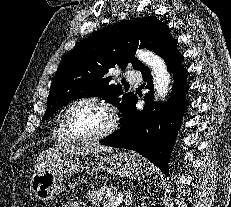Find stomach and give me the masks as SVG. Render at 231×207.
Instances as JSON below:
<instances>
[{
    "mask_svg": "<svg viewBox=\"0 0 231 207\" xmlns=\"http://www.w3.org/2000/svg\"><path fill=\"white\" fill-rule=\"evenodd\" d=\"M107 171L109 174L141 179L151 174L147 162L128 152L109 156L78 155L59 159L51 167L38 170L30 181V189L42 202L53 200L67 191L66 181L73 173Z\"/></svg>",
    "mask_w": 231,
    "mask_h": 207,
    "instance_id": "obj_1",
    "label": "stomach"
}]
</instances>
